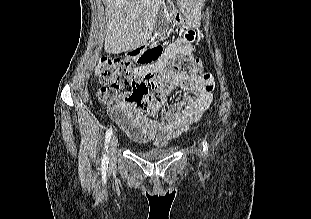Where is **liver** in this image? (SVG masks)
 Here are the masks:
<instances>
[{
  "label": "liver",
  "instance_id": "liver-1",
  "mask_svg": "<svg viewBox=\"0 0 311 219\" xmlns=\"http://www.w3.org/2000/svg\"><path fill=\"white\" fill-rule=\"evenodd\" d=\"M163 0H105L107 25L105 51L109 54L135 49L146 43L154 30ZM203 0H177L192 21L200 20Z\"/></svg>",
  "mask_w": 311,
  "mask_h": 219
}]
</instances>
